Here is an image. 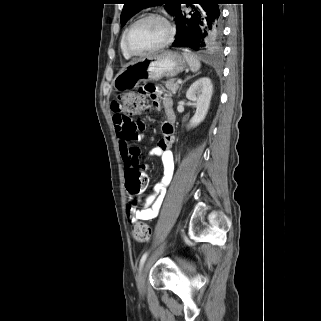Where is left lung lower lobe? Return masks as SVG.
I'll return each instance as SVG.
<instances>
[{
    "instance_id": "0a47b994",
    "label": "left lung lower lobe",
    "mask_w": 321,
    "mask_h": 321,
    "mask_svg": "<svg viewBox=\"0 0 321 321\" xmlns=\"http://www.w3.org/2000/svg\"><path fill=\"white\" fill-rule=\"evenodd\" d=\"M182 4L191 6L192 11L187 14L181 6L179 7L175 15L176 39L172 46L219 53L223 40L219 4H223V0H185Z\"/></svg>"
}]
</instances>
